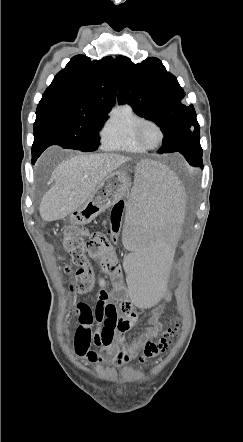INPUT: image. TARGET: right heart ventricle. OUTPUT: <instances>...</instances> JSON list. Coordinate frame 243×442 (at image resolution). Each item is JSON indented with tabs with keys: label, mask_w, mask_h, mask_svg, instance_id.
I'll use <instances>...</instances> for the list:
<instances>
[{
	"label": "right heart ventricle",
	"mask_w": 243,
	"mask_h": 442,
	"mask_svg": "<svg viewBox=\"0 0 243 442\" xmlns=\"http://www.w3.org/2000/svg\"><path fill=\"white\" fill-rule=\"evenodd\" d=\"M143 116L130 104L116 106L101 131L103 146L109 151L141 154L146 151L135 137V128Z\"/></svg>",
	"instance_id": "obj_1"
}]
</instances>
